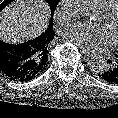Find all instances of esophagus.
Instances as JSON below:
<instances>
[{"label":"esophagus","instance_id":"34e87169","mask_svg":"<svg viewBox=\"0 0 118 118\" xmlns=\"http://www.w3.org/2000/svg\"><path fill=\"white\" fill-rule=\"evenodd\" d=\"M82 53H84L85 55L89 56V57H93L95 54L91 51L82 49Z\"/></svg>","mask_w":118,"mask_h":118}]
</instances>
